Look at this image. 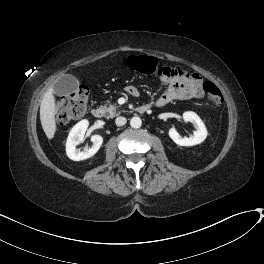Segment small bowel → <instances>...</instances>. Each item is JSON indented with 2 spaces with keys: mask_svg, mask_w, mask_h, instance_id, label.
I'll list each match as a JSON object with an SVG mask.
<instances>
[{
  "mask_svg": "<svg viewBox=\"0 0 264 264\" xmlns=\"http://www.w3.org/2000/svg\"><path fill=\"white\" fill-rule=\"evenodd\" d=\"M162 82L167 84L168 88L151 103L156 107L165 106L172 100L201 98L203 96L202 80L191 71L173 68L169 76L162 78ZM135 89H137L135 86H129L127 92L134 96L132 93Z\"/></svg>",
  "mask_w": 264,
  "mask_h": 264,
  "instance_id": "small-bowel-1",
  "label": "small bowel"
}]
</instances>
